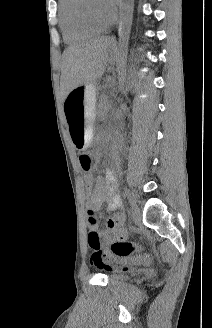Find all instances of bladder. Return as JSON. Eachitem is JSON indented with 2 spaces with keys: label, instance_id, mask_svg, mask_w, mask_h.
Here are the masks:
<instances>
[{
  "label": "bladder",
  "instance_id": "obj_1",
  "mask_svg": "<svg viewBox=\"0 0 212 328\" xmlns=\"http://www.w3.org/2000/svg\"><path fill=\"white\" fill-rule=\"evenodd\" d=\"M108 278L113 281H121L127 278V275L120 272H108Z\"/></svg>",
  "mask_w": 212,
  "mask_h": 328
}]
</instances>
